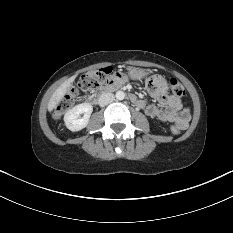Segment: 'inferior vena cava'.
I'll use <instances>...</instances> for the list:
<instances>
[{
    "mask_svg": "<svg viewBox=\"0 0 233 233\" xmlns=\"http://www.w3.org/2000/svg\"><path fill=\"white\" fill-rule=\"evenodd\" d=\"M115 100V96L112 93H103L99 99H98V104L99 106L103 107L107 104H110Z\"/></svg>",
    "mask_w": 233,
    "mask_h": 233,
    "instance_id": "inferior-vena-cava-1",
    "label": "inferior vena cava"
}]
</instances>
